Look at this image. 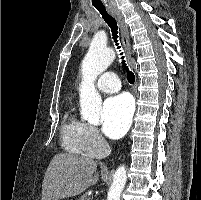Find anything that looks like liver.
<instances>
[{"instance_id":"liver-1","label":"liver","mask_w":201,"mask_h":200,"mask_svg":"<svg viewBox=\"0 0 201 200\" xmlns=\"http://www.w3.org/2000/svg\"><path fill=\"white\" fill-rule=\"evenodd\" d=\"M97 162L70 153L56 154L44 175L41 200L74 197L98 182Z\"/></svg>"}]
</instances>
